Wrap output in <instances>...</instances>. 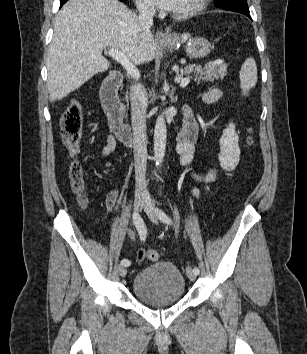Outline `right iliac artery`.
Wrapping results in <instances>:
<instances>
[{
  "mask_svg": "<svg viewBox=\"0 0 307 354\" xmlns=\"http://www.w3.org/2000/svg\"><path fill=\"white\" fill-rule=\"evenodd\" d=\"M133 223L139 233L140 239L142 241H145L147 230H146V227H145V224H144L142 218L140 217V215L137 212H134V214H133ZM121 264L127 267V266L131 265V262L128 259H123L121 261Z\"/></svg>",
  "mask_w": 307,
  "mask_h": 354,
  "instance_id": "obj_1",
  "label": "right iliac artery"
}]
</instances>
